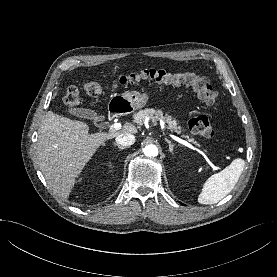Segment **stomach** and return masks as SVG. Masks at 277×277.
I'll return each mask as SVG.
<instances>
[{
  "instance_id": "0dacf381",
  "label": "stomach",
  "mask_w": 277,
  "mask_h": 277,
  "mask_svg": "<svg viewBox=\"0 0 277 277\" xmlns=\"http://www.w3.org/2000/svg\"><path fill=\"white\" fill-rule=\"evenodd\" d=\"M149 99L148 93L126 91L122 95H115L110 99L109 107L114 112L129 114L136 109L144 107Z\"/></svg>"
}]
</instances>
